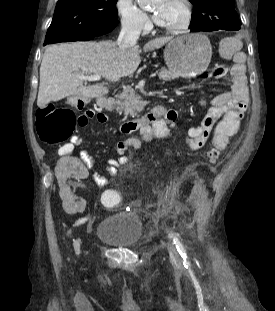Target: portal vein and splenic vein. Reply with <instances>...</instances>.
Listing matches in <instances>:
<instances>
[{
  "label": "portal vein and splenic vein",
  "mask_w": 275,
  "mask_h": 311,
  "mask_svg": "<svg viewBox=\"0 0 275 311\" xmlns=\"http://www.w3.org/2000/svg\"><path fill=\"white\" fill-rule=\"evenodd\" d=\"M155 76H156V73H153L150 75V77H155ZM78 77L80 79L87 80V81H99V80H101L100 75H84V74H81Z\"/></svg>",
  "instance_id": "18ae733b"
}]
</instances>
